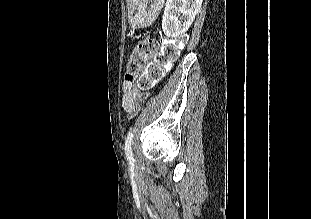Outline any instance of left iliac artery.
<instances>
[{"label":"left iliac artery","instance_id":"left-iliac-artery-1","mask_svg":"<svg viewBox=\"0 0 311 219\" xmlns=\"http://www.w3.org/2000/svg\"><path fill=\"white\" fill-rule=\"evenodd\" d=\"M132 138H133V133L129 132L127 135V138L125 140V146H124V150H125V155L127 157V160L130 163L134 162V158H133V154H132Z\"/></svg>","mask_w":311,"mask_h":219}]
</instances>
